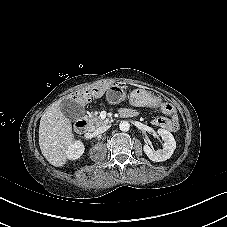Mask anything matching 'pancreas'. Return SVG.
Listing matches in <instances>:
<instances>
[{
    "label": "pancreas",
    "instance_id": "obj_1",
    "mask_svg": "<svg viewBox=\"0 0 227 227\" xmlns=\"http://www.w3.org/2000/svg\"><path fill=\"white\" fill-rule=\"evenodd\" d=\"M86 119L89 121L92 128H97L108 124V120H102L95 113H90Z\"/></svg>",
    "mask_w": 227,
    "mask_h": 227
}]
</instances>
